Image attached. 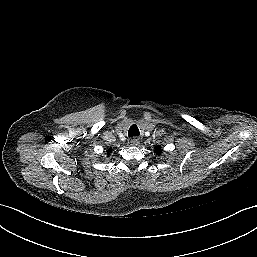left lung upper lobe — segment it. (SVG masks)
Returning a JSON list of instances; mask_svg holds the SVG:
<instances>
[{
	"instance_id": "obj_1",
	"label": "left lung upper lobe",
	"mask_w": 257,
	"mask_h": 257,
	"mask_svg": "<svg viewBox=\"0 0 257 257\" xmlns=\"http://www.w3.org/2000/svg\"><path fill=\"white\" fill-rule=\"evenodd\" d=\"M155 152L160 155L161 154V148L160 147H156Z\"/></svg>"
}]
</instances>
